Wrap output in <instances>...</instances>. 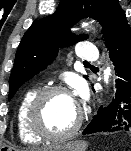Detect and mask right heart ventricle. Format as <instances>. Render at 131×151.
<instances>
[{
	"label": "right heart ventricle",
	"mask_w": 131,
	"mask_h": 151,
	"mask_svg": "<svg viewBox=\"0 0 131 151\" xmlns=\"http://www.w3.org/2000/svg\"><path fill=\"white\" fill-rule=\"evenodd\" d=\"M38 88H30L21 96L16 110V128L20 140L25 144H38L41 139L35 136L28 127L27 114L29 106L38 93Z\"/></svg>",
	"instance_id": "right-heart-ventricle-1"
}]
</instances>
